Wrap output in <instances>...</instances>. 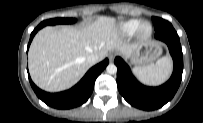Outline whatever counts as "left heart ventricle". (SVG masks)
<instances>
[{
	"label": "left heart ventricle",
	"instance_id": "1",
	"mask_svg": "<svg viewBox=\"0 0 203 123\" xmlns=\"http://www.w3.org/2000/svg\"><path fill=\"white\" fill-rule=\"evenodd\" d=\"M147 29H148V28L146 27V28H145V31H147Z\"/></svg>",
	"mask_w": 203,
	"mask_h": 123
}]
</instances>
